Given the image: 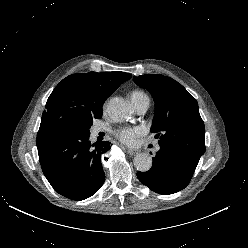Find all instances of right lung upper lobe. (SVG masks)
I'll return each mask as SVG.
<instances>
[{"instance_id":"cb5924a9","label":"right lung upper lobe","mask_w":248,"mask_h":248,"mask_svg":"<svg viewBox=\"0 0 248 248\" xmlns=\"http://www.w3.org/2000/svg\"><path fill=\"white\" fill-rule=\"evenodd\" d=\"M132 77L120 71L77 73L63 79L49 96L37 134V147L61 132L102 117L105 100Z\"/></svg>"}]
</instances>
